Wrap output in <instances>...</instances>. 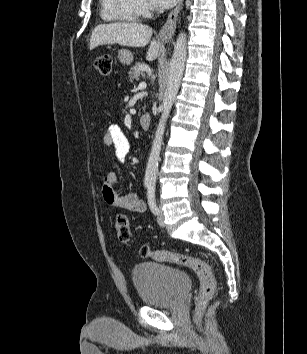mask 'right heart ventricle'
I'll return each mask as SVG.
<instances>
[{
	"instance_id": "e07e8e85",
	"label": "right heart ventricle",
	"mask_w": 307,
	"mask_h": 354,
	"mask_svg": "<svg viewBox=\"0 0 307 354\" xmlns=\"http://www.w3.org/2000/svg\"><path fill=\"white\" fill-rule=\"evenodd\" d=\"M101 16L106 21H137L140 13L135 0H101Z\"/></svg>"
}]
</instances>
